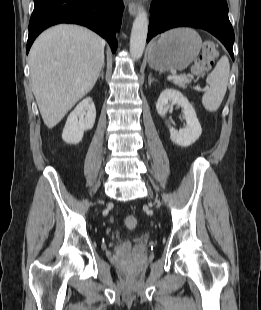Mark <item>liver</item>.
Wrapping results in <instances>:
<instances>
[{
    "mask_svg": "<svg viewBox=\"0 0 261 310\" xmlns=\"http://www.w3.org/2000/svg\"><path fill=\"white\" fill-rule=\"evenodd\" d=\"M105 41L78 25L41 33L29 52L32 90L45 125L52 129L94 87L104 64Z\"/></svg>",
    "mask_w": 261,
    "mask_h": 310,
    "instance_id": "liver-1",
    "label": "liver"
}]
</instances>
